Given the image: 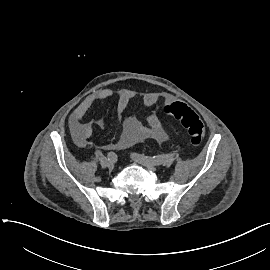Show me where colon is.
I'll return each instance as SVG.
<instances>
[{
	"mask_svg": "<svg viewBox=\"0 0 270 270\" xmlns=\"http://www.w3.org/2000/svg\"><path fill=\"white\" fill-rule=\"evenodd\" d=\"M162 114L166 118L174 119L180 122L186 130L189 142L193 147L201 145L204 138V125L198 114L183 102H173L167 104L162 109Z\"/></svg>",
	"mask_w": 270,
	"mask_h": 270,
	"instance_id": "colon-1",
	"label": "colon"
}]
</instances>
